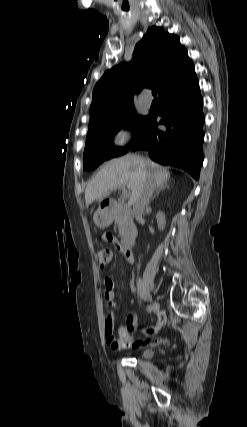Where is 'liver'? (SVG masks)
Listing matches in <instances>:
<instances>
[{
	"instance_id": "6515ba94",
	"label": "liver",
	"mask_w": 247,
	"mask_h": 427,
	"mask_svg": "<svg viewBox=\"0 0 247 427\" xmlns=\"http://www.w3.org/2000/svg\"><path fill=\"white\" fill-rule=\"evenodd\" d=\"M150 174L156 186L164 184L170 178V172L155 162L137 155H125L107 162L89 182L85 190L86 205L108 196L117 187L127 186L131 190L133 202L141 192L146 176Z\"/></svg>"
}]
</instances>
